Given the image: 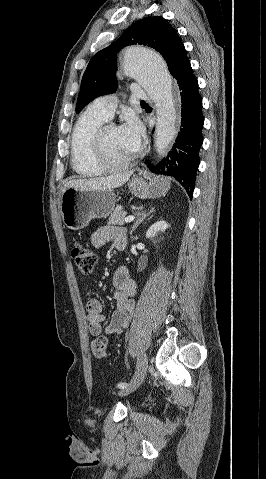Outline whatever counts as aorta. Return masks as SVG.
Instances as JSON below:
<instances>
[{
  "label": "aorta",
  "instance_id": "aorta-1",
  "mask_svg": "<svg viewBox=\"0 0 266 479\" xmlns=\"http://www.w3.org/2000/svg\"><path fill=\"white\" fill-rule=\"evenodd\" d=\"M122 63L124 74L136 80L155 103L157 112L155 146L157 153L163 156L176 135L172 77L161 56L146 47L127 48Z\"/></svg>",
  "mask_w": 266,
  "mask_h": 479
}]
</instances>
